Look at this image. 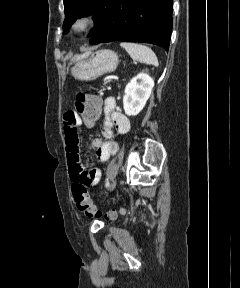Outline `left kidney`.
<instances>
[{
  "label": "left kidney",
  "instance_id": "1",
  "mask_svg": "<svg viewBox=\"0 0 240 288\" xmlns=\"http://www.w3.org/2000/svg\"><path fill=\"white\" fill-rule=\"evenodd\" d=\"M153 87L154 80L147 74V71L133 77L125 87L123 97L125 114L128 116L138 115L149 99Z\"/></svg>",
  "mask_w": 240,
  "mask_h": 288
}]
</instances>
